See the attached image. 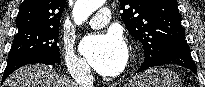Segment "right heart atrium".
Returning <instances> with one entry per match:
<instances>
[{
    "label": "right heart atrium",
    "mask_w": 205,
    "mask_h": 87,
    "mask_svg": "<svg viewBox=\"0 0 205 87\" xmlns=\"http://www.w3.org/2000/svg\"><path fill=\"white\" fill-rule=\"evenodd\" d=\"M64 55L66 67L73 77H80L90 74V67L88 63L84 58L75 53L72 43L65 42Z\"/></svg>",
    "instance_id": "right-heart-atrium-1"
}]
</instances>
